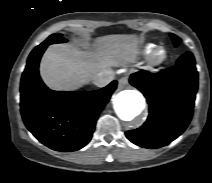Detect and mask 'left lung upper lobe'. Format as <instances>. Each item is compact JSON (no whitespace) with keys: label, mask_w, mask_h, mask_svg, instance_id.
<instances>
[{"label":"left lung upper lobe","mask_w":212,"mask_h":183,"mask_svg":"<svg viewBox=\"0 0 212 183\" xmlns=\"http://www.w3.org/2000/svg\"><path fill=\"white\" fill-rule=\"evenodd\" d=\"M170 36H171L175 46H177L181 42V39L179 37H177L176 35L170 34Z\"/></svg>","instance_id":"left-lung-upper-lobe-1"}]
</instances>
